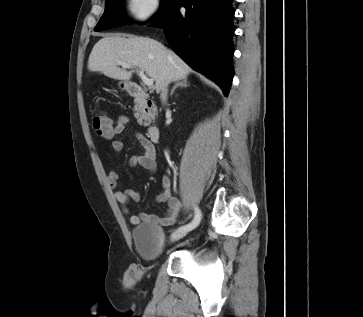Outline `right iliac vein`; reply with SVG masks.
<instances>
[{
  "label": "right iliac vein",
  "mask_w": 363,
  "mask_h": 317,
  "mask_svg": "<svg viewBox=\"0 0 363 317\" xmlns=\"http://www.w3.org/2000/svg\"><path fill=\"white\" fill-rule=\"evenodd\" d=\"M188 233L187 230H177L171 234L170 240L172 242L178 241Z\"/></svg>",
  "instance_id": "63e3f726"
}]
</instances>
